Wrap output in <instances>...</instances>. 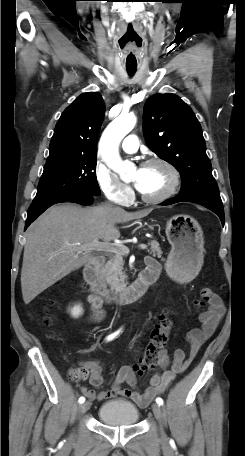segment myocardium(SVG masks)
Wrapping results in <instances>:
<instances>
[{"mask_svg": "<svg viewBox=\"0 0 245 456\" xmlns=\"http://www.w3.org/2000/svg\"><path fill=\"white\" fill-rule=\"evenodd\" d=\"M153 164H160V165H163L164 167H166L171 174L172 181H171L169 188L165 192H163L162 194L157 195V196H147V195L143 194L139 189H137L140 199L146 203H160V202H163V201L171 198L177 192V190L180 186V183H181V174H180L179 170L173 163H171L167 159H164L161 157H152V158L145 160L141 164V167H146V166H150Z\"/></svg>", "mask_w": 245, "mask_h": 456, "instance_id": "myocardium-1", "label": "myocardium"}]
</instances>
